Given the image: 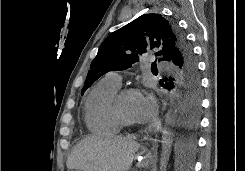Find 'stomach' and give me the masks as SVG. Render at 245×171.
Here are the masks:
<instances>
[{
	"mask_svg": "<svg viewBox=\"0 0 245 171\" xmlns=\"http://www.w3.org/2000/svg\"><path fill=\"white\" fill-rule=\"evenodd\" d=\"M140 156H141V154H139L138 157H137L138 158V165L141 166V167L149 166L150 161L147 158H145V157L140 158Z\"/></svg>",
	"mask_w": 245,
	"mask_h": 171,
	"instance_id": "stomach-1",
	"label": "stomach"
}]
</instances>
